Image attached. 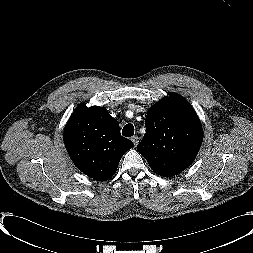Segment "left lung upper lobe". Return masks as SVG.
<instances>
[{"instance_id":"left-lung-upper-lobe-1","label":"left lung upper lobe","mask_w":253,"mask_h":253,"mask_svg":"<svg viewBox=\"0 0 253 253\" xmlns=\"http://www.w3.org/2000/svg\"><path fill=\"white\" fill-rule=\"evenodd\" d=\"M145 126L147 132L137 150L155 173L174 176L194 161L203 140V130L185 98L170 93L148 110Z\"/></svg>"}]
</instances>
